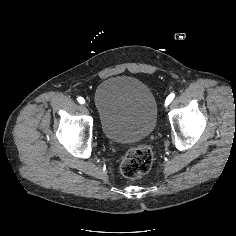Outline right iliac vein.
<instances>
[{"label": "right iliac vein", "instance_id": "1", "mask_svg": "<svg viewBox=\"0 0 236 236\" xmlns=\"http://www.w3.org/2000/svg\"><path fill=\"white\" fill-rule=\"evenodd\" d=\"M83 106H84V108H86V110H88V111H89V110H91V111H92V113H93V115H94L93 108L91 107V105H89V103H87V102H86V103H84V105H83Z\"/></svg>", "mask_w": 236, "mask_h": 236}]
</instances>
